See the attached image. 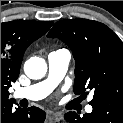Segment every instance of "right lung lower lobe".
I'll return each mask as SVG.
<instances>
[{"instance_id":"obj_1","label":"right lung lower lobe","mask_w":123,"mask_h":123,"mask_svg":"<svg viewBox=\"0 0 123 123\" xmlns=\"http://www.w3.org/2000/svg\"><path fill=\"white\" fill-rule=\"evenodd\" d=\"M13 100H1V123H43L46 114L37 107L13 109Z\"/></svg>"}]
</instances>
